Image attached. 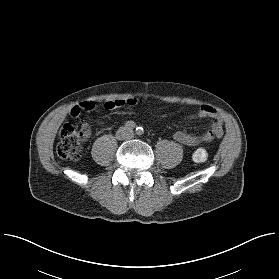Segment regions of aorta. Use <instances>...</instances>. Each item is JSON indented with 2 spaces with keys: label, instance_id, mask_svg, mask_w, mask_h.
Wrapping results in <instances>:
<instances>
[{
  "label": "aorta",
  "instance_id": "762f6f07",
  "mask_svg": "<svg viewBox=\"0 0 279 279\" xmlns=\"http://www.w3.org/2000/svg\"><path fill=\"white\" fill-rule=\"evenodd\" d=\"M136 134L137 135H141L142 134V129L141 128H137L136 129Z\"/></svg>",
  "mask_w": 279,
  "mask_h": 279
}]
</instances>
